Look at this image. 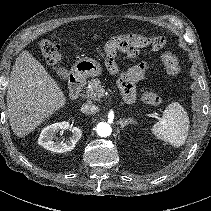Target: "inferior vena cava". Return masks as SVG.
Segmentation results:
<instances>
[{"label": "inferior vena cava", "mask_w": 211, "mask_h": 211, "mask_svg": "<svg viewBox=\"0 0 211 211\" xmlns=\"http://www.w3.org/2000/svg\"><path fill=\"white\" fill-rule=\"evenodd\" d=\"M98 110V107L93 104H85L81 107V111L85 114H95Z\"/></svg>", "instance_id": "1"}]
</instances>
